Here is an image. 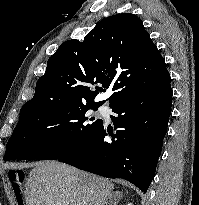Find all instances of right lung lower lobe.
Returning a JSON list of instances; mask_svg holds the SVG:
<instances>
[{
	"mask_svg": "<svg viewBox=\"0 0 199 205\" xmlns=\"http://www.w3.org/2000/svg\"><path fill=\"white\" fill-rule=\"evenodd\" d=\"M172 89L168 72L139 80L130 93L110 104L116 134L102 125L77 152L57 159L108 178H123L144 193L154 175L171 115Z\"/></svg>",
	"mask_w": 199,
	"mask_h": 205,
	"instance_id": "98d812e1",
	"label": "right lung lower lobe"
}]
</instances>
